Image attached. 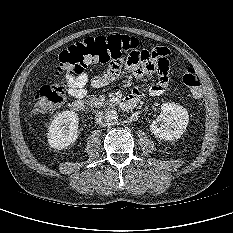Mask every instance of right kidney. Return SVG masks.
Masks as SVG:
<instances>
[{"label":"right kidney","instance_id":"ca27d5eb","mask_svg":"<svg viewBox=\"0 0 233 233\" xmlns=\"http://www.w3.org/2000/svg\"><path fill=\"white\" fill-rule=\"evenodd\" d=\"M79 118L74 111H63L51 122L48 143L52 148L63 149L73 144L78 137Z\"/></svg>","mask_w":233,"mask_h":233}]
</instances>
